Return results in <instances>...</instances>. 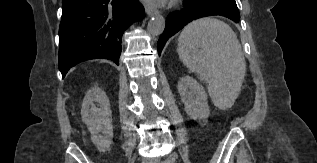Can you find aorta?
<instances>
[{
	"label": "aorta",
	"instance_id": "762f6f07",
	"mask_svg": "<svg viewBox=\"0 0 317 163\" xmlns=\"http://www.w3.org/2000/svg\"><path fill=\"white\" fill-rule=\"evenodd\" d=\"M147 29L150 34L158 36L165 29V19L162 15H155L148 23Z\"/></svg>",
	"mask_w": 317,
	"mask_h": 163
}]
</instances>
